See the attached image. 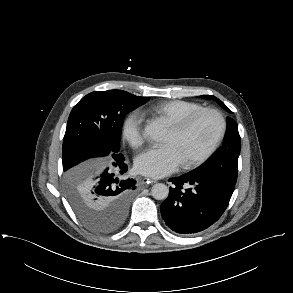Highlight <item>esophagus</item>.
Returning <instances> with one entry per match:
<instances>
[{"mask_svg": "<svg viewBox=\"0 0 293 293\" xmlns=\"http://www.w3.org/2000/svg\"><path fill=\"white\" fill-rule=\"evenodd\" d=\"M143 182L145 183V185H147V183H151V184L156 183L157 180H155V179H150V178H144V179H143Z\"/></svg>", "mask_w": 293, "mask_h": 293, "instance_id": "1", "label": "esophagus"}]
</instances>
